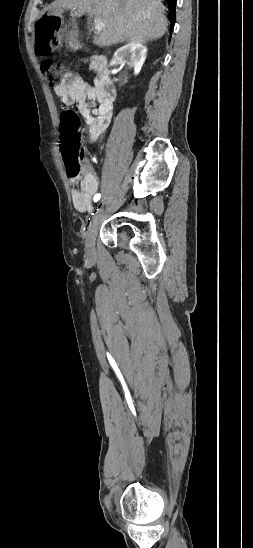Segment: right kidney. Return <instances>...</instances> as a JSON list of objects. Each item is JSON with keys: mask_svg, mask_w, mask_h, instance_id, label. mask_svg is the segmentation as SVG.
Wrapping results in <instances>:
<instances>
[{"mask_svg": "<svg viewBox=\"0 0 253 548\" xmlns=\"http://www.w3.org/2000/svg\"><path fill=\"white\" fill-rule=\"evenodd\" d=\"M146 54L147 48L143 43L129 42L114 53V59L119 63L133 67L134 74L138 75L145 62Z\"/></svg>", "mask_w": 253, "mask_h": 548, "instance_id": "ca27d5eb", "label": "right kidney"}]
</instances>
